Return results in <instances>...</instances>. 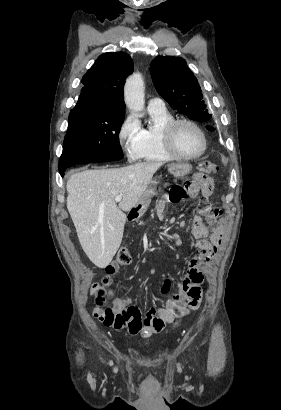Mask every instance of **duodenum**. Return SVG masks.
I'll use <instances>...</instances> for the list:
<instances>
[{
  "label": "duodenum",
  "instance_id": "1",
  "mask_svg": "<svg viewBox=\"0 0 281 410\" xmlns=\"http://www.w3.org/2000/svg\"><path fill=\"white\" fill-rule=\"evenodd\" d=\"M128 217H129V219H133L135 217V215L131 212Z\"/></svg>",
  "mask_w": 281,
  "mask_h": 410
}]
</instances>
